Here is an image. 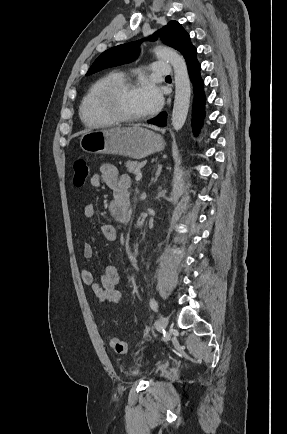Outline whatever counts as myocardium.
<instances>
[{
    "label": "myocardium",
    "mask_w": 287,
    "mask_h": 434,
    "mask_svg": "<svg viewBox=\"0 0 287 434\" xmlns=\"http://www.w3.org/2000/svg\"><path fill=\"white\" fill-rule=\"evenodd\" d=\"M136 83L123 80L107 85L98 96L100 110L111 120L117 123H137L147 118V114L141 116H128L122 113L119 107V99L126 90L135 89Z\"/></svg>",
    "instance_id": "myocardium-1"
}]
</instances>
